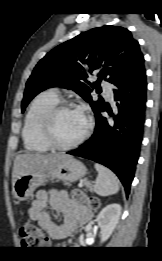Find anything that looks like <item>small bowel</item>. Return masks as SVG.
Instances as JSON below:
<instances>
[{
  "instance_id": "obj_1",
  "label": "small bowel",
  "mask_w": 162,
  "mask_h": 261,
  "mask_svg": "<svg viewBox=\"0 0 162 261\" xmlns=\"http://www.w3.org/2000/svg\"><path fill=\"white\" fill-rule=\"evenodd\" d=\"M49 199L52 208L64 215V226L62 230L64 231L65 229V231L68 232L75 229L76 221L74 215L79 211V208L63 191L54 192L50 197L46 191L37 192L35 200L28 210L29 217L36 221L41 228L47 230L50 235H58L60 230L52 222V219L47 212Z\"/></svg>"
}]
</instances>
